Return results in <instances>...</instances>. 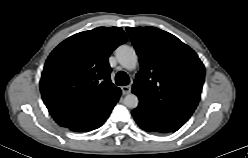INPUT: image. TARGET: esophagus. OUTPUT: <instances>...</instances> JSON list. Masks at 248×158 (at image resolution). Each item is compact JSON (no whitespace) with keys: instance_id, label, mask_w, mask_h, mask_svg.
I'll return each mask as SVG.
<instances>
[{"instance_id":"1","label":"esophagus","mask_w":248,"mask_h":158,"mask_svg":"<svg viewBox=\"0 0 248 158\" xmlns=\"http://www.w3.org/2000/svg\"><path fill=\"white\" fill-rule=\"evenodd\" d=\"M121 90L124 95L129 94L131 92V86L130 85L123 86L121 87Z\"/></svg>"}]
</instances>
